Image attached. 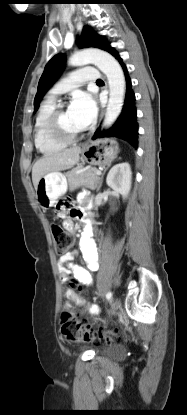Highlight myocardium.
<instances>
[{
  "instance_id": "f54148a6",
  "label": "myocardium",
  "mask_w": 187,
  "mask_h": 415,
  "mask_svg": "<svg viewBox=\"0 0 187 415\" xmlns=\"http://www.w3.org/2000/svg\"><path fill=\"white\" fill-rule=\"evenodd\" d=\"M65 110L66 107L64 104H59L55 107V109L52 111L48 118L47 129L49 135L54 140L67 145L80 140L84 135V131H81L77 134H69L64 131V129L61 126L60 119Z\"/></svg>"
}]
</instances>
